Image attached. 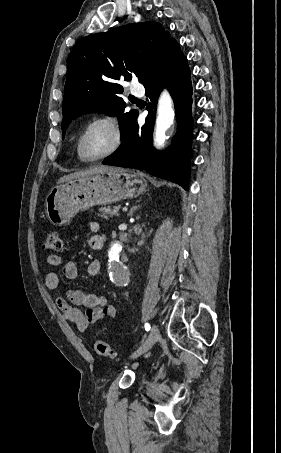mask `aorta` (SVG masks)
<instances>
[{"instance_id":"762f6f07","label":"aorta","mask_w":281,"mask_h":453,"mask_svg":"<svg viewBox=\"0 0 281 453\" xmlns=\"http://www.w3.org/2000/svg\"><path fill=\"white\" fill-rule=\"evenodd\" d=\"M175 111L173 108V100L167 90H163L161 93L158 106H157V117L154 130V145L156 148H160L164 145L168 138L166 132L170 129L174 122ZM122 243L115 242L109 252V262H119V255L122 251ZM110 280L116 286H126L130 280V273L125 266H116L111 270L109 274Z\"/></svg>"}]
</instances>
